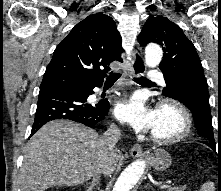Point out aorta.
<instances>
[{
	"instance_id": "obj_1",
	"label": "aorta",
	"mask_w": 221,
	"mask_h": 191,
	"mask_svg": "<svg viewBox=\"0 0 221 191\" xmlns=\"http://www.w3.org/2000/svg\"><path fill=\"white\" fill-rule=\"evenodd\" d=\"M162 49L156 44H149L145 49V63L154 68L162 60ZM145 162L138 160L127 166L117 179L113 191H130L141 178Z\"/></svg>"
}]
</instances>
